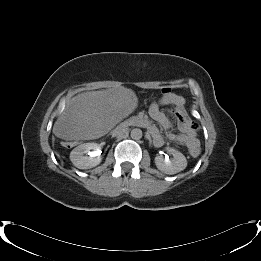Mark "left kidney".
<instances>
[{
  "label": "left kidney",
  "mask_w": 261,
  "mask_h": 261,
  "mask_svg": "<svg viewBox=\"0 0 261 261\" xmlns=\"http://www.w3.org/2000/svg\"><path fill=\"white\" fill-rule=\"evenodd\" d=\"M167 151L172 154L173 158L169 159L168 157L164 159L161 154L155 157L156 167L160 171L166 174H175L186 168V157L180 151L174 148H167Z\"/></svg>",
  "instance_id": "5707ae66"
}]
</instances>
